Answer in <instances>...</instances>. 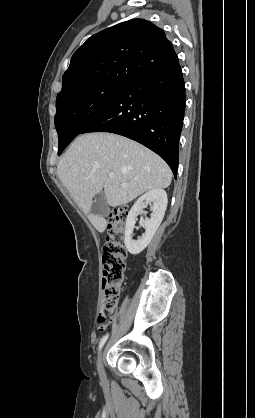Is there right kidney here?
I'll list each match as a JSON object with an SVG mask.
<instances>
[{
	"label": "right kidney",
	"instance_id": "obj_1",
	"mask_svg": "<svg viewBox=\"0 0 255 418\" xmlns=\"http://www.w3.org/2000/svg\"><path fill=\"white\" fill-rule=\"evenodd\" d=\"M149 202H153L151 218H146L143 221L145 233L142 234L141 238L134 240L132 239V235L136 218L139 214L143 213V209ZM167 203V194L163 189H152L134 203L128 213L125 225L124 243L129 253L133 255L139 254L148 246L164 218Z\"/></svg>",
	"mask_w": 255,
	"mask_h": 418
}]
</instances>
